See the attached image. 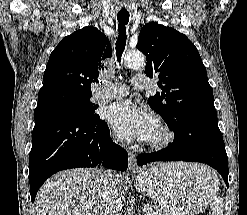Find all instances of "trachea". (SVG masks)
Masks as SVG:
<instances>
[{"label":"trachea","mask_w":247,"mask_h":215,"mask_svg":"<svg viewBox=\"0 0 247 215\" xmlns=\"http://www.w3.org/2000/svg\"><path fill=\"white\" fill-rule=\"evenodd\" d=\"M117 19H118V39L116 42V56H117V61L120 63L121 62V56L122 53L125 49L126 45V25L129 22V13L128 12H119L117 14Z\"/></svg>","instance_id":"obj_1"}]
</instances>
